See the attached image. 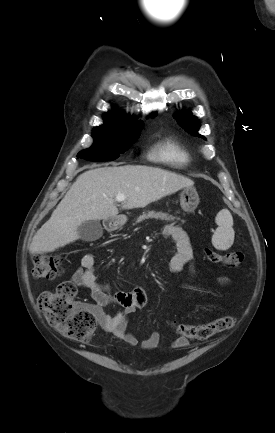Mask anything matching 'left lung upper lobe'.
Returning a JSON list of instances; mask_svg holds the SVG:
<instances>
[{
	"label": "left lung upper lobe",
	"mask_w": 275,
	"mask_h": 433,
	"mask_svg": "<svg viewBox=\"0 0 275 433\" xmlns=\"http://www.w3.org/2000/svg\"><path fill=\"white\" fill-rule=\"evenodd\" d=\"M175 119L178 122V124L182 128H184L188 133H190L193 136H198L205 139L202 135L197 133L200 124L196 122V120L190 113L187 112L178 113L175 115Z\"/></svg>",
	"instance_id": "1"
}]
</instances>
